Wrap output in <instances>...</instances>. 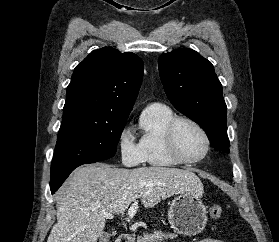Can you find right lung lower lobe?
<instances>
[{"instance_id": "right-lung-lower-lobe-1", "label": "right lung lower lobe", "mask_w": 279, "mask_h": 242, "mask_svg": "<svg viewBox=\"0 0 279 242\" xmlns=\"http://www.w3.org/2000/svg\"><path fill=\"white\" fill-rule=\"evenodd\" d=\"M96 161L93 162H89V163H95ZM86 164V163H84ZM82 165V164H81ZM80 166V165H79ZM78 167V166H77ZM76 168V167H75ZM74 168V169H75ZM72 169L71 171H69L68 173L64 174L63 176H61L59 179L55 180L54 182H50V189H51V193L54 194L59 187L61 186V184L64 182V180L69 176V174L74 170Z\"/></svg>"}]
</instances>
